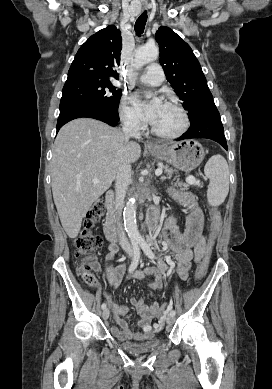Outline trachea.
Segmentation results:
<instances>
[{
  "label": "trachea",
  "mask_w": 272,
  "mask_h": 389,
  "mask_svg": "<svg viewBox=\"0 0 272 389\" xmlns=\"http://www.w3.org/2000/svg\"><path fill=\"white\" fill-rule=\"evenodd\" d=\"M146 21H147V11L145 10L135 22L134 29L138 36H140L144 32Z\"/></svg>",
  "instance_id": "3493384b"
}]
</instances>
